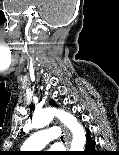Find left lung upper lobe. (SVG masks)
<instances>
[{"label":"left lung upper lobe","instance_id":"left-lung-upper-lobe-1","mask_svg":"<svg viewBox=\"0 0 119 155\" xmlns=\"http://www.w3.org/2000/svg\"><path fill=\"white\" fill-rule=\"evenodd\" d=\"M50 104L53 105V106L56 105L55 102H54V100H50Z\"/></svg>","mask_w":119,"mask_h":155}]
</instances>
